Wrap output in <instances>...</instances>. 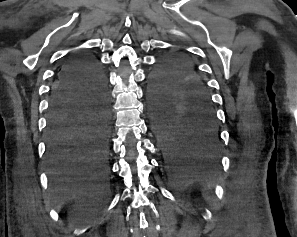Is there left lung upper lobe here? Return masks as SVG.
Here are the masks:
<instances>
[{"label": "left lung upper lobe", "mask_w": 297, "mask_h": 237, "mask_svg": "<svg viewBox=\"0 0 297 237\" xmlns=\"http://www.w3.org/2000/svg\"><path fill=\"white\" fill-rule=\"evenodd\" d=\"M148 95L150 104L181 106L189 101L212 104L204 81L191 61L172 53L164 58L150 76Z\"/></svg>", "instance_id": "5c2ea615"}]
</instances>
